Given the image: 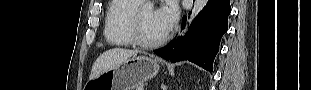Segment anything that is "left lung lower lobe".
Listing matches in <instances>:
<instances>
[{
  "instance_id": "obj_1",
  "label": "left lung lower lobe",
  "mask_w": 311,
  "mask_h": 90,
  "mask_svg": "<svg viewBox=\"0 0 311 90\" xmlns=\"http://www.w3.org/2000/svg\"><path fill=\"white\" fill-rule=\"evenodd\" d=\"M230 12V0H209L184 37L154 52L173 63L189 60L212 72L221 37L228 29ZM185 24L186 16H183L182 29Z\"/></svg>"
}]
</instances>
